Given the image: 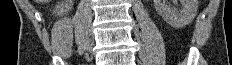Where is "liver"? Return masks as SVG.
Instances as JSON below:
<instances>
[{"label":"liver","mask_w":232,"mask_h":65,"mask_svg":"<svg viewBox=\"0 0 232 65\" xmlns=\"http://www.w3.org/2000/svg\"><path fill=\"white\" fill-rule=\"evenodd\" d=\"M49 0H36V2H38V3H46V2H48Z\"/></svg>","instance_id":"liver-1"}]
</instances>
